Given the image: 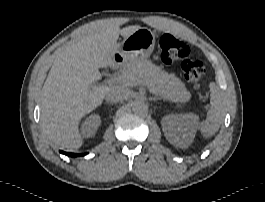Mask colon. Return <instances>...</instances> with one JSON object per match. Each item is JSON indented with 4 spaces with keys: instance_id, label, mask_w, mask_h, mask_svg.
Returning <instances> with one entry per match:
<instances>
[{
    "instance_id": "colon-1",
    "label": "colon",
    "mask_w": 265,
    "mask_h": 202,
    "mask_svg": "<svg viewBox=\"0 0 265 202\" xmlns=\"http://www.w3.org/2000/svg\"><path fill=\"white\" fill-rule=\"evenodd\" d=\"M161 58L166 63L179 62L180 68L190 84L197 85L205 75V62L199 57L190 58L188 45L169 33L160 36Z\"/></svg>"
}]
</instances>
